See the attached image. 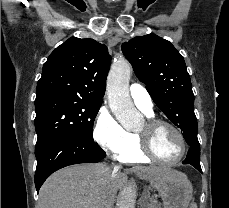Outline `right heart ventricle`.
Masks as SVG:
<instances>
[{"label": "right heart ventricle", "instance_id": "1", "mask_svg": "<svg viewBox=\"0 0 229 208\" xmlns=\"http://www.w3.org/2000/svg\"><path fill=\"white\" fill-rule=\"evenodd\" d=\"M147 116L151 117V115L146 114ZM132 137V140L134 142V147L122 154H120V158L126 161H141L146 160L147 158H143V153H140V148L138 147L139 143H142L141 138L138 136V134L129 133Z\"/></svg>", "mask_w": 229, "mask_h": 208}]
</instances>
